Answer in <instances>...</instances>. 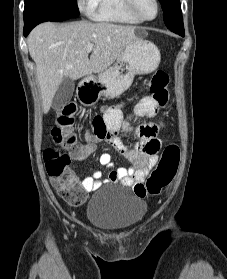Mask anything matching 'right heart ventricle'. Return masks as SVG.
<instances>
[{
	"mask_svg": "<svg viewBox=\"0 0 227 279\" xmlns=\"http://www.w3.org/2000/svg\"><path fill=\"white\" fill-rule=\"evenodd\" d=\"M89 15L93 20L123 24L141 23L130 11L126 0H89Z\"/></svg>",
	"mask_w": 227,
	"mask_h": 279,
	"instance_id": "e07e8e85",
	"label": "right heart ventricle"
}]
</instances>
